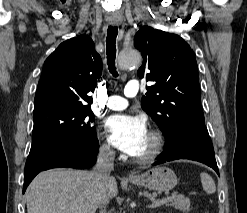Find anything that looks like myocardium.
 <instances>
[{"label":"myocardium","mask_w":247,"mask_h":213,"mask_svg":"<svg viewBox=\"0 0 247 213\" xmlns=\"http://www.w3.org/2000/svg\"><path fill=\"white\" fill-rule=\"evenodd\" d=\"M152 140V147L150 151L142 156V157H135L134 160L139 164H150L153 163L163 152L165 146V140L162 133L158 130H150L148 133Z\"/></svg>","instance_id":"1"}]
</instances>
